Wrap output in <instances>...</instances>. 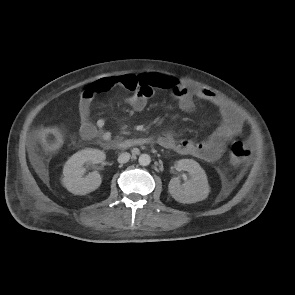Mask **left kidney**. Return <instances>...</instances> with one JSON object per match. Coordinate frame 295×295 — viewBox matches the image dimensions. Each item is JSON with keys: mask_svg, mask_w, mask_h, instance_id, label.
<instances>
[{"mask_svg": "<svg viewBox=\"0 0 295 295\" xmlns=\"http://www.w3.org/2000/svg\"><path fill=\"white\" fill-rule=\"evenodd\" d=\"M176 167L180 171H186L191 179L181 185L176 177L169 182L168 189L171 196L180 203L191 204L207 198L210 188L205 171L199 163L192 159H181L177 161Z\"/></svg>", "mask_w": 295, "mask_h": 295, "instance_id": "left-kidney-1", "label": "left kidney"}]
</instances>
